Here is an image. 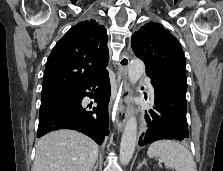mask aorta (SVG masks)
<instances>
[{
	"instance_id": "aorta-1",
	"label": "aorta",
	"mask_w": 223,
	"mask_h": 171,
	"mask_svg": "<svg viewBox=\"0 0 223 171\" xmlns=\"http://www.w3.org/2000/svg\"><path fill=\"white\" fill-rule=\"evenodd\" d=\"M145 72V65L140 59H133L128 67V77L132 85H135ZM137 139V120L133 111L129 115L124 127L120 143V162L127 165L133 157Z\"/></svg>"
}]
</instances>
